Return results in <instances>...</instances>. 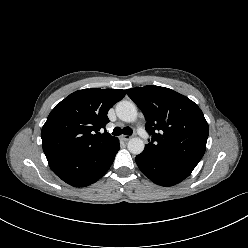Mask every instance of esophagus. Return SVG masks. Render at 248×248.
<instances>
[{
	"label": "esophagus",
	"mask_w": 248,
	"mask_h": 248,
	"mask_svg": "<svg viewBox=\"0 0 248 248\" xmlns=\"http://www.w3.org/2000/svg\"><path fill=\"white\" fill-rule=\"evenodd\" d=\"M131 138H132V136H130V135H122V139L124 141H129Z\"/></svg>",
	"instance_id": "esophagus-1"
}]
</instances>
